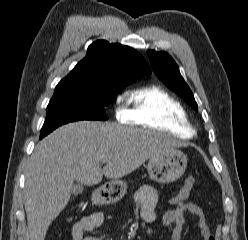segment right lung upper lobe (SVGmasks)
<instances>
[{
  "label": "right lung upper lobe",
  "instance_id": "right-lung-upper-lobe-1",
  "mask_svg": "<svg viewBox=\"0 0 248 240\" xmlns=\"http://www.w3.org/2000/svg\"><path fill=\"white\" fill-rule=\"evenodd\" d=\"M150 73L149 65L136 50L97 40L88 47L86 57L58 83L55 90L122 87Z\"/></svg>",
  "mask_w": 248,
  "mask_h": 240
}]
</instances>
